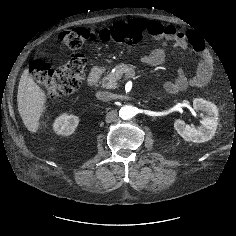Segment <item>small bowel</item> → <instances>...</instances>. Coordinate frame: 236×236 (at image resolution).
Returning <instances> with one entry per match:
<instances>
[{
    "mask_svg": "<svg viewBox=\"0 0 236 236\" xmlns=\"http://www.w3.org/2000/svg\"><path fill=\"white\" fill-rule=\"evenodd\" d=\"M146 30L155 40L161 42V47L142 57V61L148 65L157 66L162 64L166 56V47L169 44H173L179 49L191 46L197 53L199 63L196 74L189 78L183 71H179L175 81L165 84L167 91L174 93L183 91L189 86L202 87L208 84L214 71V65L211 55L198 36L189 35L173 25L165 26L158 21L146 23Z\"/></svg>",
    "mask_w": 236,
    "mask_h": 236,
    "instance_id": "obj_1",
    "label": "small bowel"
}]
</instances>
